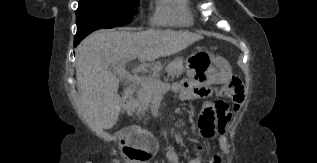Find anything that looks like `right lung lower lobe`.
I'll use <instances>...</instances> for the list:
<instances>
[{"instance_id": "obj_1", "label": "right lung lower lobe", "mask_w": 317, "mask_h": 163, "mask_svg": "<svg viewBox=\"0 0 317 163\" xmlns=\"http://www.w3.org/2000/svg\"><path fill=\"white\" fill-rule=\"evenodd\" d=\"M81 40H82V39H81ZM81 40H75V41H74V46L76 47V46L79 44V42H80Z\"/></svg>"}]
</instances>
